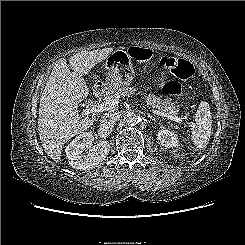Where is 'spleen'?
<instances>
[{
	"instance_id": "1",
	"label": "spleen",
	"mask_w": 245,
	"mask_h": 245,
	"mask_svg": "<svg viewBox=\"0 0 245 245\" xmlns=\"http://www.w3.org/2000/svg\"><path fill=\"white\" fill-rule=\"evenodd\" d=\"M194 119L191 139L198 149H204L208 145L212 130L211 111L207 102L203 101L199 104Z\"/></svg>"
}]
</instances>
